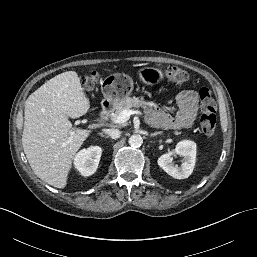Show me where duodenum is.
Wrapping results in <instances>:
<instances>
[{
  "label": "duodenum",
  "mask_w": 257,
  "mask_h": 257,
  "mask_svg": "<svg viewBox=\"0 0 257 257\" xmlns=\"http://www.w3.org/2000/svg\"><path fill=\"white\" fill-rule=\"evenodd\" d=\"M113 105L110 102H105L101 109L102 117H108L110 112L112 111Z\"/></svg>",
  "instance_id": "obj_1"
}]
</instances>
